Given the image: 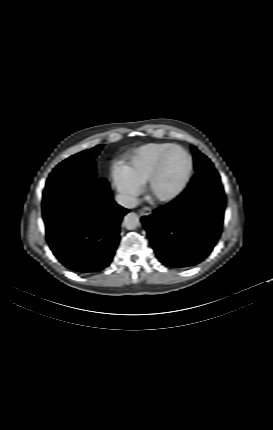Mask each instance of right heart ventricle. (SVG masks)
I'll return each instance as SVG.
<instances>
[{
    "label": "right heart ventricle",
    "instance_id": "1",
    "mask_svg": "<svg viewBox=\"0 0 273 430\" xmlns=\"http://www.w3.org/2000/svg\"><path fill=\"white\" fill-rule=\"evenodd\" d=\"M171 145L173 144L167 142L144 144L125 159L123 167L129 177L142 186L147 182L162 152Z\"/></svg>",
    "mask_w": 273,
    "mask_h": 430
}]
</instances>
